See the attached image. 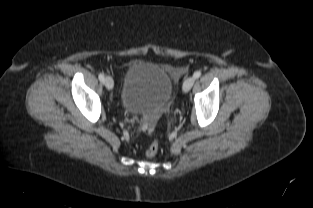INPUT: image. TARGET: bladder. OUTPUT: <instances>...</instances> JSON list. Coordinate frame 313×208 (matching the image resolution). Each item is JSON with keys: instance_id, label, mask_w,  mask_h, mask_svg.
Listing matches in <instances>:
<instances>
[{"instance_id": "31cf9c89", "label": "bladder", "mask_w": 313, "mask_h": 208, "mask_svg": "<svg viewBox=\"0 0 313 208\" xmlns=\"http://www.w3.org/2000/svg\"><path fill=\"white\" fill-rule=\"evenodd\" d=\"M172 92V80L162 68L137 61L126 69L120 104L128 113L159 116L167 108Z\"/></svg>"}]
</instances>
